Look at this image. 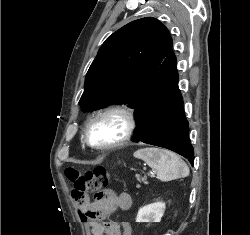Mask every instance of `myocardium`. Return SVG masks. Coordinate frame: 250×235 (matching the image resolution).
Masks as SVG:
<instances>
[{
    "label": "myocardium",
    "instance_id": "f54148a6",
    "mask_svg": "<svg viewBox=\"0 0 250 235\" xmlns=\"http://www.w3.org/2000/svg\"><path fill=\"white\" fill-rule=\"evenodd\" d=\"M108 115H118L123 119L124 121L123 132L121 136L113 142H109L107 144H95L91 141L90 129L98 119ZM136 127H137V118L135 111L131 107L119 103L111 104L96 111L94 114L91 115V117L89 118L84 127V134H83L84 142L90 148L97 151L113 150L127 144L131 140L136 130Z\"/></svg>",
    "mask_w": 250,
    "mask_h": 235
}]
</instances>
